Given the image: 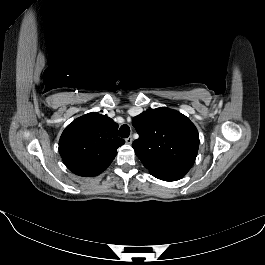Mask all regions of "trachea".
Here are the masks:
<instances>
[{
	"label": "trachea",
	"mask_w": 265,
	"mask_h": 265,
	"mask_svg": "<svg viewBox=\"0 0 265 265\" xmlns=\"http://www.w3.org/2000/svg\"><path fill=\"white\" fill-rule=\"evenodd\" d=\"M130 135V128L128 125L124 124L119 129V136L122 138H127Z\"/></svg>",
	"instance_id": "3493384b"
}]
</instances>
